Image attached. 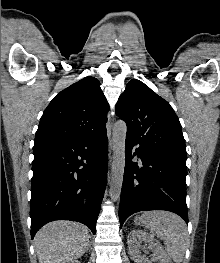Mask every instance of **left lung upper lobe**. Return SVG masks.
<instances>
[{"label":"left lung upper lobe","instance_id":"5c2ea615","mask_svg":"<svg viewBox=\"0 0 220 263\" xmlns=\"http://www.w3.org/2000/svg\"><path fill=\"white\" fill-rule=\"evenodd\" d=\"M116 114L127 124L126 137L186 165L179 119L170 104L146 84L131 80L118 99Z\"/></svg>","mask_w":220,"mask_h":263}]
</instances>
